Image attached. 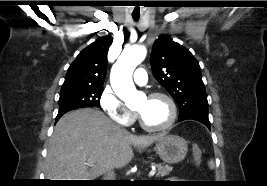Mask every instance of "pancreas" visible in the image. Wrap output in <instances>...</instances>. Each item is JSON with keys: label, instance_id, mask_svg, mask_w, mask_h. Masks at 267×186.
Here are the masks:
<instances>
[{"label": "pancreas", "instance_id": "1", "mask_svg": "<svg viewBox=\"0 0 267 186\" xmlns=\"http://www.w3.org/2000/svg\"><path fill=\"white\" fill-rule=\"evenodd\" d=\"M156 167L158 169L157 177H164L172 171V167L169 165L156 164Z\"/></svg>", "mask_w": 267, "mask_h": 186}]
</instances>
